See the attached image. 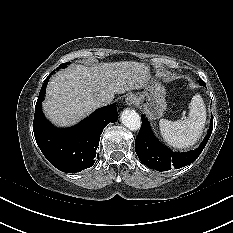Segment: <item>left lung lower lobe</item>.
Returning a JSON list of instances; mask_svg holds the SVG:
<instances>
[{
    "label": "left lung lower lobe",
    "instance_id": "1",
    "mask_svg": "<svg viewBox=\"0 0 233 233\" xmlns=\"http://www.w3.org/2000/svg\"><path fill=\"white\" fill-rule=\"evenodd\" d=\"M141 119L142 126L135 140L136 154L144 165L157 171L178 169L193 163L203 151L213 130V118H211L209 130L201 145L196 150L179 153L162 145L154 136L144 115Z\"/></svg>",
    "mask_w": 233,
    "mask_h": 233
}]
</instances>
